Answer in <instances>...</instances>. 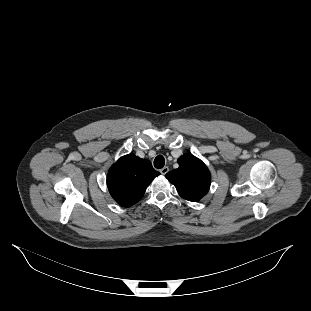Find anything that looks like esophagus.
Instances as JSON below:
<instances>
[{
  "instance_id": "obj_1",
  "label": "esophagus",
  "mask_w": 311,
  "mask_h": 311,
  "mask_svg": "<svg viewBox=\"0 0 311 311\" xmlns=\"http://www.w3.org/2000/svg\"><path fill=\"white\" fill-rule=\"evenodd\" d=\"M168 171H169V167H168V166H165V167H163V168L160 170L161 174H163V175H165Z\"/></svg>"
}]
</instances>
